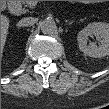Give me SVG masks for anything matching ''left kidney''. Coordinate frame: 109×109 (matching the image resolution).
Here are the masks:
<instances>
[{"instance_id":"1","label":"left kidney","mask_w":109,"mask_h":109,"mask_svg":"<svg viewBox=\"0 0 109 109\" xmlns=\"http://www.w3.org/2000/svg\"><path fill=\"white\" fill-rule=\"evenodd\" d=\"M95 36L98 46L88 42V37ZM79 49L90 57L101 58L109 54V26L102 22H93L82 29L77 36Z\"/></svg>"}]
</instances>
